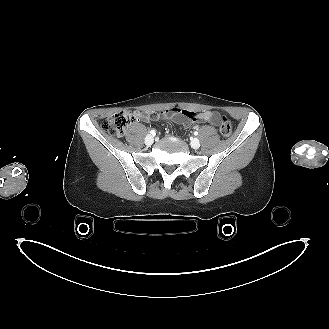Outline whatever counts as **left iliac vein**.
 <instances>
[{
	"mask_svg": "<svg viewBox=\"0 0 329 329\" xmlns=\"http://www.w3.org/2000/svg\"><path fill=\"white\" fill-rule=\"evenodd\" d=\"M190 145L194 149H198L200 147V141L197 138L191 140Z\"/></svg>",
	"mask_w": 329,
	"mask_h": 329,
	"instance_id": "obj_1",
	"label": "left iliac vein"
}]
</instances>
